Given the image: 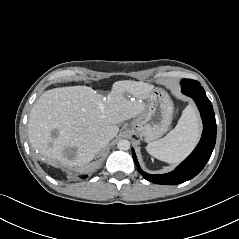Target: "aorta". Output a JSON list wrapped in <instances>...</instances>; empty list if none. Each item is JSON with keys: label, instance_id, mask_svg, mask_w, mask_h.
I'll use <instances>...</instances> for the list:
<instances>
[{"label": "aorta", "instance_id": "aorta-1", "mask_svg": "<svg viewBox=\"0 0 239 239\" xmlns=\"http://www.w3.org/2000/svg\"><path fill=\"white\" fill-rule=\"evenodd\" d=\"M117 148L122 151H127L130 148V142L128 140H120L117 143Z\"/></svg>", "mask_w": 239, "mask_h": 239}]
</instances>
